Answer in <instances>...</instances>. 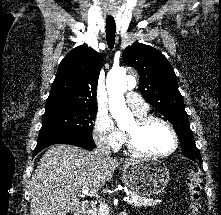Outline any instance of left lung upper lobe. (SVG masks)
Listing matches in <instances>:
<instances>
[{"label": "left lung upper lobe", "mask_w": 221, "mask_h": 215, "mask_svg": "<svg viewBox=\"0 0 221 215\" xmlns=\"http://www.w3.org/2000/svg\"><path fill=\"white\" fill-rule=\"evenodd\" d=\"M122 59L138 71L141 94L174 126L185 156L201 161L175 72L166 57L157 49L137 42L124 50Z\"/></svg>", "instance_id": "1"}]
</instances>
